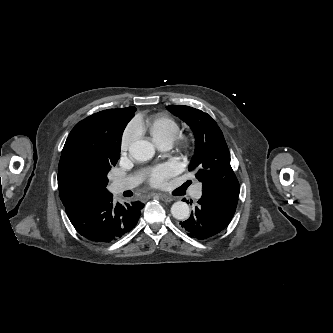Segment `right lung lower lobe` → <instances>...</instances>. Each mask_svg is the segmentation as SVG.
<instances>
[{
  "mask_svg": "<svg viewBox=\"0 0 333 333\" xmlns=\"http://www.w3.org/2000/svg\"><path fill=\"white\" fill-rule=\"evenodd\" d=\"M143 207L139 201L114 204L112 194L108 193L103 198L67 207L65 211L80 235L104 244L130 232L136 226Z\"/></svg>",
  "mask_w": 333,
  "mask_h": 333,
  "instance_id": "right-lung-lower-lobe-1",
  "label": "right lung lower lobe"
}]
</instances>
